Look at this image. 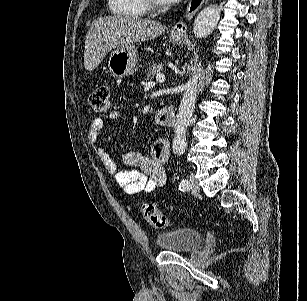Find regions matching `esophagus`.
<instances>
[{"instance_id": "esophagus-1", "label": "esophagus", "mask_w": 307, "mask_h": 301, "mask_svg": "<svg viewBox=\"0 0 307 301\" xmlns=\"http://www.w3.org/2000/svg\"><path fill=\"white\" fill-rule=\"evenodd\" d=\"M205 0H190L186 13H185V21L176 22L175 25L171 29V35L173 38L178 40H183L184 36L187 33V21L191 20L194 15L198 12L200 7L203 5Z\"/></svg>"}]
</instances>
